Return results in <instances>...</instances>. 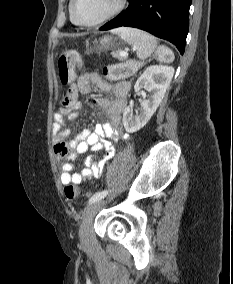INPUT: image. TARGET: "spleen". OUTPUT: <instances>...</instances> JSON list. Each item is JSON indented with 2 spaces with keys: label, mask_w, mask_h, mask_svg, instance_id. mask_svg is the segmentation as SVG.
Listing matches in <instances>:
<instances>
[{
  "label": "spleen",
  "mask_w": 233,
  "mask_h": 284,
  "mask_svg": "<svg viewBox=\"0 0 233 284\" xmlns=\"http://www.w3.org/2000/svg\"><path fill=\"white\" fill-rule=\"evenodd\" d=\"M119 37L132 45L136 50L137 56L141 60H145L156 51L161 61L173 59L174 53L168 47L161 45L157 47L156 38L139 29L122 27L114 31Z\"/></svg>",
  "instance_id": "obj_1"
}]
</instances>
